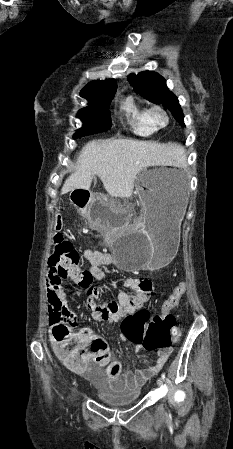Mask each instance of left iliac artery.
<instances>
[{
    "label": "left iliac artery",
    "mask_w": 233,
    "mask_h": 449,
    "mask_svg": "<svg viewBox=\"0 0 233 449\" xmlns=\"http://www.w3.org/2000/svg\"><path fill=\"white\" fill-rule=\"evenodd\" d=\"M161 376H162V379L164 380V379H165V374H164V373H162V375H161Z\"/></svg>",
    "instance_id": "44dca946"
}]
</instances>
